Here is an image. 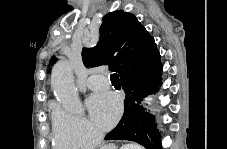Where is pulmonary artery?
Returning <instances> with one entry per match:
<instances>
[{
  "label": "pulmonary artery",
  "instance_id": "obj_1",
  "mask_svg": "<svg viewBox=\"0 0 227 149\" xmlns=\"http://www.w3.org/2000/svg\"><path fill=\"white\" fill-rule=\"evenodd\" d=\"M87 85L91 90H103L108 88L109 80L106 76L101 74H92L88 78Z\"/></svg>",
  "mask_w": 227,
  "mask_h": 149
}]
</instances>
